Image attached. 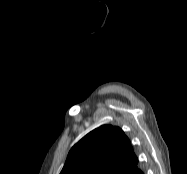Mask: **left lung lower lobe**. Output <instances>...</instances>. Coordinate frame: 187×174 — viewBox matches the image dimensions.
I'll return each instance as SVG.
<instances>
[{"label":"left lung lower lobe","mask_w":187,"mask_h":174,"mask_svg":"<svg viewBox=\"0 0 187 174\" xmlns=\"http://www.w3.org/2000/svg\"><path fill=\"white\" fill-rule=\"evenodd\" d=\"M137 174H143V172H142V171H140V172H138Z\"/></svg>","instance_id":"1"}]
</instances>
